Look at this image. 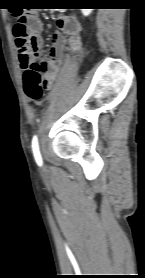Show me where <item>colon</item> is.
Instances as JSON below:
<instances>
[{"label": "colon", "instance_id": "obj_1", "mask_svg": "<svg viewBox=\"0 0 145 278\" xmlns=\"http://www.w3.org/2000/svg\"><path fill=\"white\" fill-rule=\"evenodd\" d=\"M13 34L17 39L19 51L27 49L29 33L24 18H19L13 28ZM46 65L42 58L34 57L30 66L24 71V89L27 97L35 102L40 103L44 97V88L46 87L45 76Z\"/></svg>", "mask_w": 145, "mask_h": 278}]
</instances>
